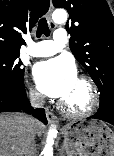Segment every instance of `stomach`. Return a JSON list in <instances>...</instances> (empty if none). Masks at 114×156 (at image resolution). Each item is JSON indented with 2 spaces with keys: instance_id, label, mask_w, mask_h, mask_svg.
Instances as JSON below:
<instances>
[{
  "instance_id": "0dacf381",
  "label": "stomach",
  "mask_w": 114,
  "mask_h": 156,
  "mask_svg": "<svg viewBox=\"0 0 114 156\" xmlns=\"http://www.w3.org/2000/svg\"><path fill=\"white\" fill-rule=\"evenodd\" d=\"M66 156H114V132L103 121H74L62 129Z\"/></svg>"
}]
</instances>
